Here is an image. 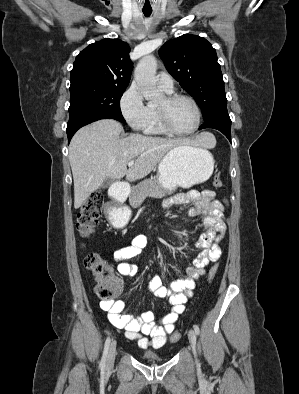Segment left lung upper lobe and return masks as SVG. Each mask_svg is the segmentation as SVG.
Here are the masks:
<instances>
[{
  "label": "left lung upper lobe",
  "instance_id": "5c2ea615",
  "mask_svg": "<svg viewBox=\"0 0 299 394\" xmlns=\"http://www.w3.org/2000/svg\"><path fill=\"white\" fill-rule=\"evenodd\" d=\"M159 55L171 76L196 100L205 121L228 114L216 51L205 38L184 34L166 42Z\"/></svg>",
  "mask_w": 299,
  "mask_h": 394
}]
</instances>
